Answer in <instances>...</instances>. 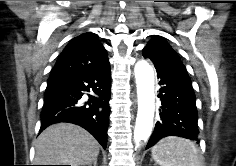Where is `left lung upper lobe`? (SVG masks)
<instances>
[{
  "label": "left lung upper lobe",
  "mask_w": 236,
  "mask_h": 166,
  "mask_svg": "<svg viewBox=\"0 0 236 166\" xmlns=\"http://www.w3.org/2000/svg\"><path fill=\"white\" fill-rule=\"evenodd\" d=\"M144 58H149L155 66L173 62H181L178 54L172 49L167 41L155 36L143 49Z\"/></svg>",
  "instance_id": "obj_1"
}]
</instances>
